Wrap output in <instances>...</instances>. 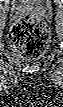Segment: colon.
I'll use <instances>...</instances> for the list:
<instances>
[{"mask_svg": "<svg viewBox=\"0 0 63 107\" xmlns=\"http://www.w3.org/2000/svg\"><path fill=\"white\" fill-rule=\"evenodd\" d=\"M49 30L44 22L26 17L13 25L9 39L14 51L22 57L42 55L49 42Z\"/></svg>", "mask_w": 63, "mask_h": 107, "instance_id": "1", "label": "colon"}]
</instances>
